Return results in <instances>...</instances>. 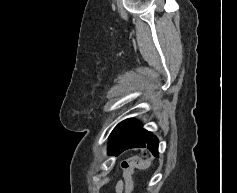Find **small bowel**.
<instances>
[{
    "instance_id": "obj_1",
    "label": "small bowel",
    "mask_w": 237,
    "mask_h": 193,
    "mask_svg": "<svg viewBox=\"0 0 237 193\" xmlns=\"http://www.w3.org/2000/svg\"><path fill=\"white\" fill-rule=\"evenodd\" d=\"M123 188H124L123 184H120V185L117 187V191H118L119 193H122Z\"/></svg>"
}]
</instances>
